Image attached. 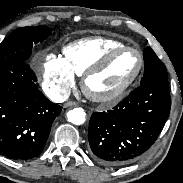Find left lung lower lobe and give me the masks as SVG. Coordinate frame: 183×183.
Returning <instances> with one entry per match:
<instances>
[{"mask_svg": "<svg viewBox=\"0 0 183 183\" xmlns=\"http://www.w3.org/2000/svg\"><path fill=\"white\" fill-rule=\"evenodd\" d=\"M171 107L168 84L140 85L112 110L95 112L89 122L92 157L120 166L143 155L161 133Z\"/></svg>", "mask_w": 183, "mask_h": 183, "instance_id": "left-lung-lower-lobe-1", "label": "left lung lower lobe"}]
</instances>
